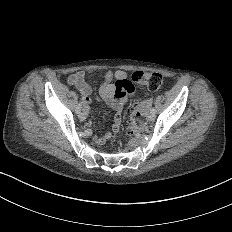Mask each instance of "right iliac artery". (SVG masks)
<instances>
[{
  "mask_svg": "<svg viewBox=\"0 0 232 232\" xmlns=\"http://www.w3.org/2000/svg\"><path fill=\"white\" fill-rule=\"evenodd\" d=\"M81 107H82V102L78 103V105L75 108V113L78 114L81 111Z\"/></svg>",
  "mask_w": 232,
  "mask_h": 232,
  "instance_id": "1",
  "label": "right iliac artery"
}]
</instances>
